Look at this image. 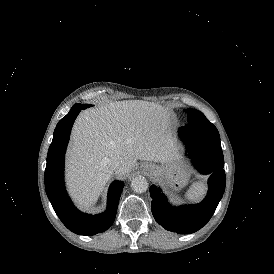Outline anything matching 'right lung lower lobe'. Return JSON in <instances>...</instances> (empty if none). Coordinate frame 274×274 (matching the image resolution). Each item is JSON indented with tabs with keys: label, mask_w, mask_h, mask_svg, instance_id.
Listing matches in <instances>:
<instances>
[{
	"label": "right lung lower lobe",
	"mask_w": 274,
	"mask_h": 274,
	"mask_svg": "<svg viewBox=\"0 0 274 274\" xmlns=\"http://www.w3.org/2000/svg\"><path fill=\"white\" fill-rule=\"evenodd\" d=\"M87 107L90 105L75 104L57 124L47 154L45 189L54 211L63 224L76 234L91 236L104 232L113 224L124 184L121 181H114L111 184L107 210L93 216L77 210L65 191L63 170L66 146L74 120L79 112Z\"/></svg>",
	"instance_id": "obj_1"
}]
</instances>
